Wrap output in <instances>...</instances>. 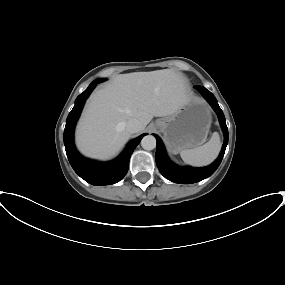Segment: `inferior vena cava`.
<instances>
[{"mask_svg":"<svg viewBox=\"0 0 285 285\" xmlns=\"http://www.w3.org/2000/svg\"><path fill=\"white\" fill-rule=\"evenodd\" d=\"M126 130L129 133H137L141 130V123L139 120L137 119H130L127 123H126Z\"/></svg>","mask_w":285,"mask_h":285,"instance_id":"obj_1","label":"inferior vena cava"}]
</instances>
